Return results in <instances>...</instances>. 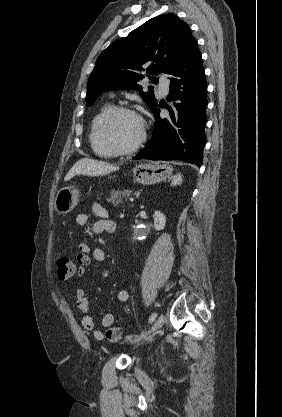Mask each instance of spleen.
I'll return each instance as SVG.
<instances>
[{
    "mask_svg": "<svg viewBox=\"0 0 282 417\" xmlns=\"http://www.w3.org/2000/svg\"><path fill=\"white\" fill-rule=\"evenodd\" d=\"M181 176L182 174H175V176H173L172 178V184H179V182H181Z\"/></svg>",
    "mask_w": 282,
    "mask_h": 417,
    "instance_id": "obj_1",
    "label": "spleen"
}]
</instances>
